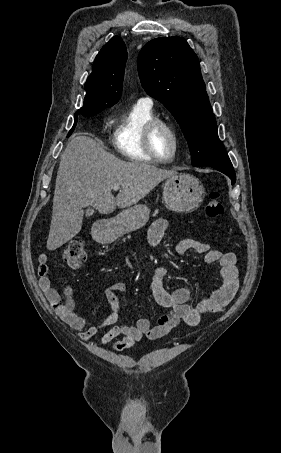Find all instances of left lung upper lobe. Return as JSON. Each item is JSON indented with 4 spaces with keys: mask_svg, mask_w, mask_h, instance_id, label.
I'll list each match as a JSON object with an SVG mask.
<instances>
[{
    "mask_svg": "<svg viewBox=\"0 0 281 453\" xmlns=\"http://www.w3.org/2000/svg\"><path fill=\"white\" fill-rule=\"evenodd\" d=\"M143 88L172 113L188 142L193 166H231L200 72L197 55L185 39L149 41L138 58Z\"/></svg>",
    "mask_w": 281,
    "mask_h": 453,
    "instance_id": "obj_1",
    "label": "left lung upper lobe"
}]
</instances>
